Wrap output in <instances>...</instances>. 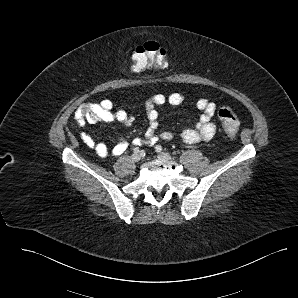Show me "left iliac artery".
Listing matches in <instances>:
<instances>
[{"label": "left iliac artery", "instance_id": "obj_1", "mask_svg": "<svg viewBox=\"0 0 298 298\" xmlns=\"http://www.w3.org/2000/svg\"><path fill=\"white\" fill-rule=\"evenodd\" d=\"M155 149H156L157 152H161L162 151V147L160 145H157L155 147Z\"/></svg>", "mask_w": 298, "mask_h": 298}]
</instances>
